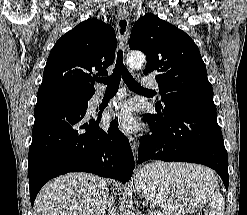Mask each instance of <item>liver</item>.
<instances>
[{"label":"liver","mask_w":247,"mask_h":215,"mask_svg":"<svg viewBox=\"0 0 247 215\" xmlns=\"http://www.w3.org/2000/svg\"><path fill=\"white\" fill-rule=\"evenodd\" d=\"M198 170H204L196 166ZM107 180L89 173H69L48 183L39 192L34 215H104Z\"/></svg>","instance_id":"liver-1"}]
</instances>
